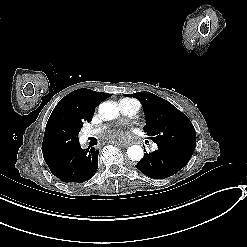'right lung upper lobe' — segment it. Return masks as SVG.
<instances>
[{
  "label": "right lung upper lobe",
  "instance_id": "right-lung-upper-lobe-1",
  "mask_svg": "<svg viewBox=\"0 0 247 247\" xmlns=\"http://www.w3.org/2000/svg\"><path fill=\"white\" fill-rule=\"evenodd\" d=\"M111 95L90 89H77L63 97L51 113L44 133L42 149L58 137L80 132L84 121H91L95 107Z\"/></svg>",
  "mask_w": 247,
  "mask_h": 247
}]
</instances>
